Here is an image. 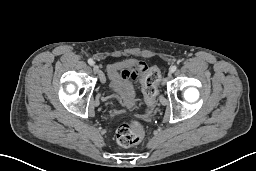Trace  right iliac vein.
<instances>
[{"label":"right iliac vein","mask_w":256,"mask_h":171,"mask_svg":"<svg viewBox=\"0 0 256 171\" xmlns=\"http://www.w3.org/2000/svg\"><path fill=\"white\" fill-rule=\"evenodd\" d=\"M93 71H94L95 74H99L100 73V69H99L98 65H94L93 66Z\"/></svg>","instance_id":"right-iliac-vein-1"}]
</instances>
